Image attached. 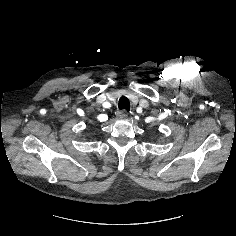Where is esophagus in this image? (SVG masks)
Listing matches in <instances>:
<instances>
[{
	"mask_svg": "<svg viewBox=\"0 0 236 236\" xmlns=\"http://www.w3.org/2000/svg\"><path fill=\"white\" fill-rule=\"evenodd\" d=\"M128 116V112L126 110H121L118 112L119 118H126Z\"/></svg>",
	"mask_w": 236,
	"mask_h": 236,
	"instance_id": "1",
	"label": "esophagus"
}]
</instances>
